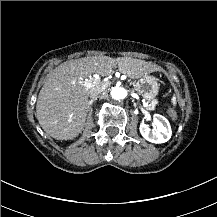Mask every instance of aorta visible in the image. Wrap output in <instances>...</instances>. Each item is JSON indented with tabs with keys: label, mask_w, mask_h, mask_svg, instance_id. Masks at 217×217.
<instances>
[{
	"label": "aorta",
	"mask_w": 217,
	"mask_h": 217,
	"mask_svg": "<svg viewBox=\"0 0 217 217\" xmlns=\"http://www.w3.org/2000/svg\"><path fill=\"white\" fill-rule=\"evenodd\" d=\"M110 96L114 100L123 99L125 97V90H124V88H121L119 86H114L110 91Z\"/></svg>",
	"instance_id": "1"
}]
</instances>
